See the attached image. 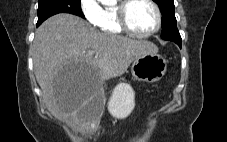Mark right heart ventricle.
Returning <instances> with one entry per match:
<instances>
[{"label":"right heart ventricle","instance_id":"obj_1","mask_svg":"<svg viewBox=\"0 0 227 142\" xmlns=\"http://www.w3.org/2000/svg\"><path fill=\"white\" fill-rule=\"evenodd\" d=\"M97 26L106 34L120 35L124 33L117 20L116 7H104Z\"/></svg>","mask_w":227,"mask_h":142}]
</instances>
